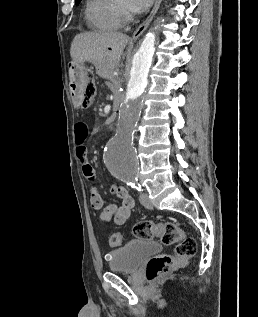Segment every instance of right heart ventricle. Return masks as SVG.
I'll use <instances>...</instances> for the list:
<instances>
[{"label":"right heart ventricle","mask_w":258,"mask_h":317,"mask_svg":"<svg viewBox=\"0 0 258 317\" xmlns=\"http://www.w3.org/2000/svg\"><path fill=\"white\" fill-rule=\"evenodd\" d=\"M123 5V0H88L85 5L86 20L96 31L117 30L122 24Z\"/></svg>","instance_id":"obj_1"}]
</instances>
